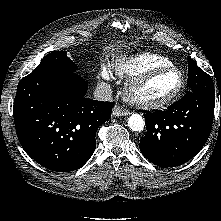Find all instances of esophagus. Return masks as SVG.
Listing matches in <instances>:
<instances>
[{"mask_svg": "<svg viewBox=\"0 0 221 221\" xmlns=\"http://www.w3.org/2000/svg\"><path fill=\"white\" fill-rule=\"evenodd\" d=\"M129 114H130L129 110L125 109L124 107L120 105H115L112 109V115L116 117L125 116Z\"/></svg>", "mask_w": 221, "mask_h": 221, "instance_id": "1", "label": "esophagus"}]
</instances>
